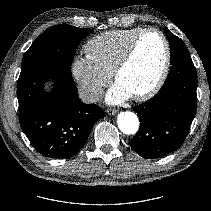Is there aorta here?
Wrapping results in <instances>:
<instances>
[{
  "instance_id": "obj_1",
  "label": "aorta",
  "mask_w": 211,
  "mask_h": 211,
  "mask_svg": "<svg viewBox=\"0 0 211 211\" xmlns=\"http://www.w3.org/2000/svg\"><path fill=\"white\" fill-rule=\"evenodd\" d=\"M117 124L121 132L127 135L135 134L139 129V119L130 111L121 112L117 117Z\"/></svg>"
}]
</instances>
